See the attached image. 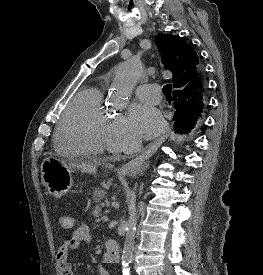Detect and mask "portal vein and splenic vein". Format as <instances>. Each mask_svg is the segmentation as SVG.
<instances>
[{
  "label": "portal vein and splenic vein",
  "mask_w": 263,
  "mask_h": 275,
  "mask_svg": "<svg viewBox=\"0 0 263 275\" xmlns=\"http://www.w3.org/2000/svg\"><path fill=\"white\" fill-rule=\"evenodd\" d=\"M102 219H103L104 221H108V217H107V216H103Z\"/></svg>",
  "instance_id": "obj_1"
}]
</instances>
